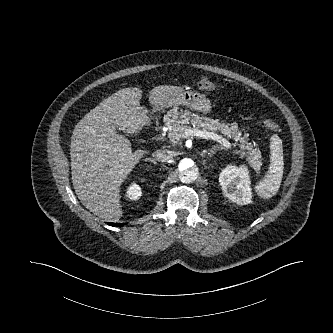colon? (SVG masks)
I'll return each instance as SVG.
<instances>
[{"instance_id": "5ec220e1", "label": "colon", "mask_w": 333, "mask_h": 333, "mask_svg": "<svg viewBox=\"0 0 333 333\" xmlns=\"http://www.w3.org/2000/svg\"><path fill=\"white\" fill-rule=\"evenodd\" d=\"M196 86L200 90H206V91H214L216 90L217 86L207 78H201L200 80L197 81ZM262 124L264 127H266L268 130L272 132H280V127L279 125L274 122L273 120L270 119H263Z\"/></svg>"}]
</instances>
